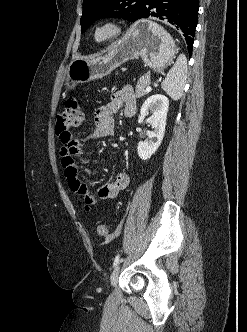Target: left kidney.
Returning a JSON list of instances; mask_svg holds the SVG:
<instances>
[{
  "mask_svg": "<svg viewBox=\"0 0 247 332\" xmlns=\"http://www.w3.org/2000/svg\"><path fill=\"white\" fill-rule=\"evenodd\" d=\"M168 107V98L161 94L150 96L142 105L138 123H142L151 111L153 115L147 119V122L152 125L153 131L147 133L144 142L138 143L137 151L140 159H149L159 148L165 133Z\"/></svg>",
  "mask_w": 247,
  "mask_h": 332,
  "instance_id": "left-kidney-1",
  "label": "left kidney"
}]
</instances>
